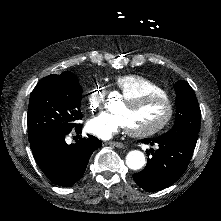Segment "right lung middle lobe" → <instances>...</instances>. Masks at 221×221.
Here are the masks:
<instances>
[{
	"label": "right lung middle lobe",
	"instance_id": "right-lung-middle-lobe-1",
	"mask_svg": "<svg viewBox=\"0 0 221 221\" xmlns=\"http://www.w3.org/2000/svg\"><path fill=\"white\" fill-rule=\"evenodd\" d=\"M82 88L78 78L65 71L51 74L38 82L32 91L28 107V139L53 134H67L77 128Z\"/></svg>",
	"mask_w": 221,
	"mask_h": 221
}]
</instances>
